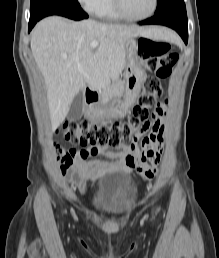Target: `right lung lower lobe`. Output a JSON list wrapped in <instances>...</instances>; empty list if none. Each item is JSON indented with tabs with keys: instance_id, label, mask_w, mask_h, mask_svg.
<instances>
[{
	"instance_id": "obj_1",
	"label": "right lung lower lobe",
	"mask_w": 219,
	"mask_h": 258,
	"mask_svg": "<svg viewBox=\"0 0 219 258\" xmlns=\"http://www.w3.org/2000/svg\"><path fill=\"white\" fill-rule=\"evenodd\" d=\"M50 15H60L73 20H82L88 18V15L81 9L80 5L58 3L44 8L35 16L30 17L29 32L39 20Z\"/></svg>"
}]
</instances>
